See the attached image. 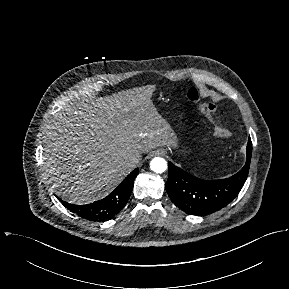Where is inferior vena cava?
<instances>
[{
	"label": "inferior vena cava",
	"mask_w": 289,
	"mask_h": 289,
	"mask_svg": "<svg viewBox=\"0 0 289 289\" xmlns=\"http://www.w3.org/2000/svg\"><path fill=\"white\" fill-rule=\"evenodd\" d=\"M129 163H134L136 160H133L132 158H129L128 160H127Z\"/></svg>",
	"instance_id": "inferior-vena-cava-1"
}]
</instances>
